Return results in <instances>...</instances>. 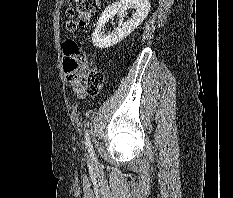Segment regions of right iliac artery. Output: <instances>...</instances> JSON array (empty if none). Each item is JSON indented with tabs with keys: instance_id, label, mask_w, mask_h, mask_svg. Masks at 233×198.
Listing matches in <instances>:
<instances>
[{
	"instance_id": "obj_1",
	"label": "right iliac artery",
	"mask_w": 233,
	"mask_h": 198,
	"mask_svg": "<svg viewBox=\"0 0 233 198\" xmlns=\"http://www.w3.org/2000/svg\"><path fill=\"white\" fill-rule=\"evenodd\" d=\"M85 140H86V146H87L88 153H89L90 157L94 160L95 159V157H94L95 154H94L92 145H91L90 140H89L88 131H86Z\"/></svg>"
}]
</instances>
